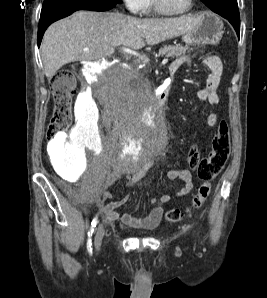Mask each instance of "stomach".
<instances>
[{"mask_svg": "<svg viewBox=\"0 0 267 298\" xmlns=\"http://www.w3.org/2000/svg\"><path fill=\"white\" fill-rule=\"evenodd\" d=\"M200 22L195 29L182 34L186 44H217L223 35V22L213 14L204 12L199 15Z\"/></svg>", "mask_w": 267, "mask_h": 298, "instance_id": "0dacf381", "label": "stomach"}]
</instances>
